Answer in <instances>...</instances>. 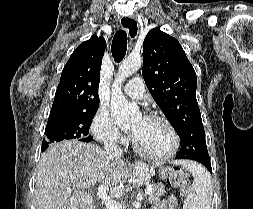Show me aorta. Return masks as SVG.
Returning <instances> with one entry per match:
<instances>
[{"instance_id":"762f6f07","label":"aorta","mask_w":253,"mask_h":209,"mask_svg":"<svg viewBox=\"0 0 253 209\" xmlns=\"http://www.w3.org/2000/svg\"><path fill=\"white\" fill-rule=\"evenodd\" d=\"M142 65L140 56H129L120 64L116 80L112 87L110 110L120 128H127L138 116V108L131 104L125 98L121 85L131 75L139 70ZM133 209H138L136 203L133 204Z\"/></svg>"}]
</instances>
